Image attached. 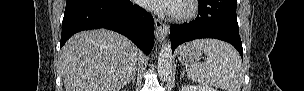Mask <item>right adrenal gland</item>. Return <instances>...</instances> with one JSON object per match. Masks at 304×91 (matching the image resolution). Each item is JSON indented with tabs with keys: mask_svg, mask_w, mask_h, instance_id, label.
I'll return each instance as SVG.
<instances>
[{
	"mask_svg": "<svg viewBox=\"0 0 304 91\" xmlns=\"http://www.w3.org/2000/svg\"><path fill=\"white\" fill-rule=\"evenodd\" d=\"M135 79H136V74L134 73L133 76L131 77V79L128 81V84L130 82H132L133 84H135Z\"/></svg>",
	"mask_w": 304,
	"mask_h": 91,
	"instance_id": "obj_1",
	"label": "right adrenal gland"
}]
</instances>
